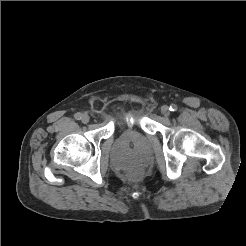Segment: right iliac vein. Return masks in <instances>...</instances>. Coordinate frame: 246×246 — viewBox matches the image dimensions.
<instances>
[{"mask_svg": "<svg viewBox=\"0 0 246 246\" xmlns=\"http://www.w3.org/2000/svg\"><path fill=\"white\" fill-rule=\"evenodd\" d=\"M90 120V117L88 114H83L82 117H81V121L84 123V124H87Z\"/></svg>", "mask_w": 246, "mask_h": 246, "instance_id": "obj_1", "label": "right iliac vein"}]
</instances>
